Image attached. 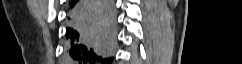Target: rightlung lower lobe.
Returning a JSON list of instances; mask_svg holds the SVG:
<instances>
[{
    "instance_id": "1",
    "label": "right lung lower lobe",
    "mask_w": 242,
    "mask_h": 64,
    "mask_svg": "<svg viewBox=\"0 0 242 64\" xmlns=\"http://www.w3.org/2000/svg\"><path fill=\"white\" fill-rule=\"evenodd\" d=\"M115 34L113 0H72L65 35L66 62L111 63Z\"/></svg>"
}]
</instances>
